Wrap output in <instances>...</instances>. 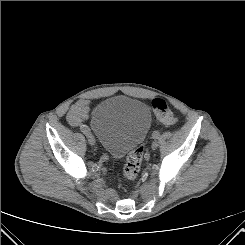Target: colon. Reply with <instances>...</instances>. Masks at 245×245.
<instances>
[{
	"instance_id": "5ec220e1",
	"label": "colon",
	"mask_w": 245,
	"mask_h": 245,
	"mask_svg": "<svg viewBox=\"0 0 245 245\" xmlns=\"http://www.w3.org/2000/svg\"><path fill=\"white\" fill-rule=\"evenodd\" d=\"M152 107L157 118L166 125H174L178 118L168 108L166 102L161 98L152 100ZM143 159V146L133 149L127 156L126 163L123 167V177L126 181L134 180L139 171Z\"/></svg>"
}]
</instances>
